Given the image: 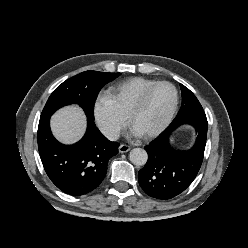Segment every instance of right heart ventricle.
Here are the masks:
<instances>
[{
    "mask_svg": "<svg viewBox=\"0 0 248 248\" xmlns=\"http://www.w3.org/2000/svg\"><path fill=\"white\" fill-rule=\"evenodd\" d=\"M155 82V80L144 77H132L112 85L108 90V94L119 111L127 117L130 108L142 92Z\"/></svg>",
    "mask_w": 248,
    "mask_h": 248,
    "instance_id": "right-heart-ventricle-1",
    "label": "right heart ventricle"
}]
</instances>
